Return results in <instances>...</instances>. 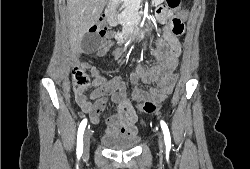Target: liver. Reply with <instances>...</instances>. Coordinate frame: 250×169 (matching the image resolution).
Masks as SVG:
<instances>
[{"instance_id": "1", "label": "liver", "mask_w": 250, "mask_h": 169, "mask_svg": "<svg viewBox=\"0 0 250 169\" xmlns=\"http://www.w3.org/2000/svg\"><path fill=\"white\" fill-rule=\"evenodd\" d=\"M108 0H67L70 42L76 48L83 34L95 24Z\"/></svg>"}]
</instances>
